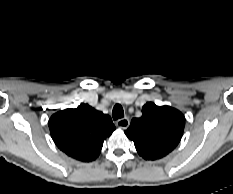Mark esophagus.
Returning <instances> with one entry per match:
<instances>
[{"label":"esophagus","instance_id":"1","mask_svg":"<svg viewBox=\"0 0 233 194\" xmlns=\"http://www.w3.org/2000/svg\"><path fill=\"white\" fill-rule=\"evenodd\" d=\"M129 124H130V122H129V119L128 118H121V119H119V120H117V122H116V125L119 127V128H121V129H126V128H128L129 127Z\"/></svg>","mask_w":233,"mask_h":194}]
</instances>
